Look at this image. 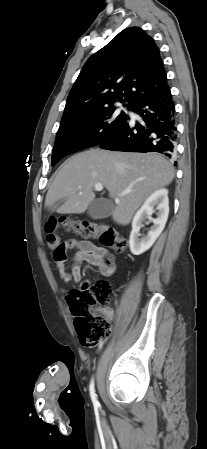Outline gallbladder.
Returning a JSON list of instances; mask_svg holds the SVG:
<instances>
[{"label":"gallbladder","mask_w":207,"mask_h":449,"mask_svg":"<svg viewBox=\"0 0 207 449\" xmlns=\"http://www.w3.org/2000/svg\"><path fill=\"white\" fill-rule=\"evenodd\" d=\"M113 204L105 198H97L88 207V214L93 219L107 218L112 214Z\"/></svg>","instance_id":"obj_1"}]
</instances>
